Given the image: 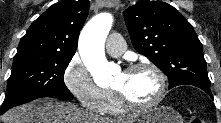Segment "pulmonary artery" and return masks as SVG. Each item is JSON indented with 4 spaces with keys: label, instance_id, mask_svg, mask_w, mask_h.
I'll use <instances>...</instances> for the list:
<instances>
[{
    "label": "pulmonary artery",
    "instance_id": "obj_1",
    "mask_svg": "<svg viewBox=\"0 0 221 123\" xmlns=\"http://www.w3.org/2000/svg\"><path fill=\"white\" fill-rule=\"evenodd\" d=\"M106 51L113 57H118L125 51L126 45L122 36L118 33L109 35L106 41Z\"/></svg>",
    "mask_w": 221,
    "mask_h": 123
}]
</instances>
